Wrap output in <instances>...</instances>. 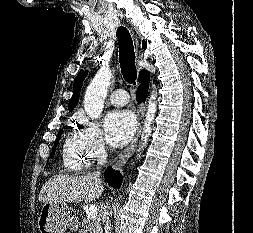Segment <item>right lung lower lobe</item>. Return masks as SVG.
<instances>
[{
    "instance_id": "98d812e1",
    "label": "right lung lower lobe",
    "mask_w": 253,
    "mask_h": 233,
    "mask_svg": "<svg viewBox=\"0 0 253 233\" xmlns=\"http://www.w3.org/2000/svg\"><path fill=\"white\" fill-rule=\"evenodd\" d=\"M138 81L141 85H139L137 89V101L141 103L147 96L149 73L147 71L141 72ZM104 177L106 182L112 187L119 188L122 184V175L118 171L113 170L111 167H108L105 171Z\"/></svg>"
}]
</instances>
